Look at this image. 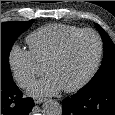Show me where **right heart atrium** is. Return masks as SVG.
<instances>
[{"instance_id": "1", "label": "right heart atrium", "mask_w": 115, "mask_h": 115, "mask_svg": "<svg viewBox=\"0 0 115 115\" xmlns=\"http://www.w3.org/2000/svg\"><path fill=\"white\" fill-rule=\"evenodd\" d=\"M8 65L21 88L30 86L41 70L30 50L17 44L12 45L8 52Z\"/></svg>"}]
</instances>
